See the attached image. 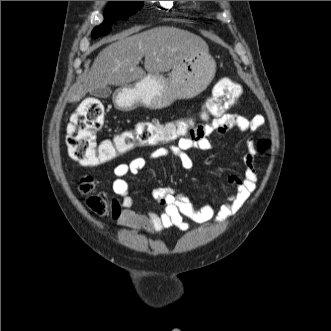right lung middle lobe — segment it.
I'll list each match as a JSON object with an SVG mask.
<instances>
[{
  "mask_svg": "<svg viewBox=\"0 0 331 331\" xmlns=\"http://www.w3.org/2000/svg\"><path fill=\"white\" fill-rule=\"evenodd\" d=\"M143 6L142 1H111L105 11L104 22L95 27L92 36L97 38L111 31L110 25L117 19H127L129 15L137 12Z\"/></svg>",
  "mask_w": 331,
  "mask_h": 331,
  "instance_id": "right-lung-middle-lobe-1",
  "label": "right lung middle lobe"
}]
</instances>
